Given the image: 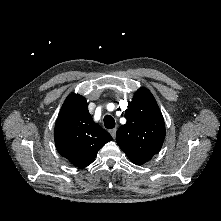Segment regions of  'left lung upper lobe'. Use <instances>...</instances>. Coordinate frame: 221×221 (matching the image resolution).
Segmentation results:
<instances>
[{
	"instance_id": "left-lung-upper-lobe-1",
	"label": "left lung upper lobe",
	"mask_w": 221,
	"mask_h": 221,
	"mask_svg": "<svg viewBox=\"0 0 221 221\" xmlns=\"http://www.w3.org/2000/svg\"><path fill=\"white\" fill-rule=\"evenodd\" d=\"M127 123L119 127L116 141L136 165L149 161L162 147L165 124L151 92L140 88L125 110Z\"/></svg>"
}]
</instances>
